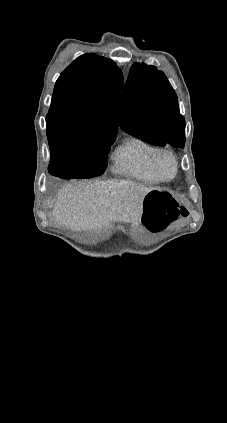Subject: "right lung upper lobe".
Segmentation results:
<instances>
[{
  "label": "right lung upper lobe",
  "mask_w": 227,
  "mask_h": 423,
  "mask_svg": "<svg viewBox=\"0 0 227 423\" xmlns=\"http://www.w3.org/2000/svg\"><path fill=\"white\" fill-rule=\"evenodd\" d=\"M122 71L94 53L78 57L58 78L46 117L48 141L111 137L118 132Z\"/></svg>",
  "instance_id": "right-lung-upper-lobe-1"
}]
</instances>
